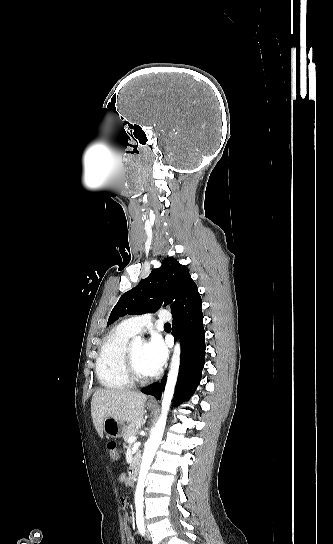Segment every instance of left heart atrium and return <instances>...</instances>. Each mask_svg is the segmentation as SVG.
<instances>
[{
  "instance_id": "39dd6f15",
  "label": "left heart atrium",
  "mask_w": 333,
  "mask_h": 544,
  "mask_svg": "<svg viewBox=\"0 0 333 544\" xmlns=\"http://www.w3.org/2000/svg\"><path fill=\"white\" fill-rule=\"evenodd\" d=\"M144 356L147 365L154 373L161 369L167 357V350L159 336L151 337L145 346Z\"/></svg>"
}]
</instances>
